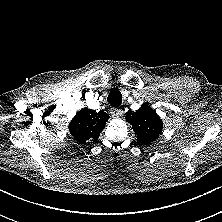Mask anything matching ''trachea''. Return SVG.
<instances>
[{
  "label": "trachea",
  "mask_w": 222,
  "mask_h": 222,
  "mask_svg": "<svg viewBox=\"0 0 222 222\" xmlns=\"http://www.w3.org/2000/svg\"><path fill=\"white\" fill-rule=\"evenodd\" d=\"M108 103L112 107H118L122 103V94L118 89H112L107 98Z\"/></svg>",
  "instance_id": "trachea-1"
}]
</instances>
